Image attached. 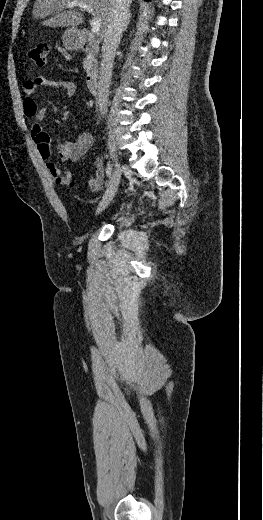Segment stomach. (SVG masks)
I'll return each instance as SVG.
<instances>
[{
  "label": "stomach",
  "mask_w": 263,
  "mask_h": 520,
  "mask_svg": "<svg viewBox=\"0 0 263 520\" xmlns=\"http://www.w3.org/2000/svg\"><path fill=\"white\" fill-rule=\"evenodd\" d=\"M62 41L69 50H78L83 43L81 32L74 27L68 28L63 32Z\"/></svg>",
  "instance_id": "obj_1"
}]
</instances>
